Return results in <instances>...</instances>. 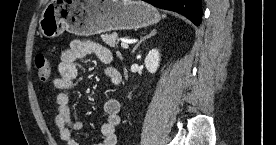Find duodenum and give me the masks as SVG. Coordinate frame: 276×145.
<instances>
[{"label": "duodenum", "mask_w": 276, "mask_h": 145, "mask_svg": "<svg viewBox=\"0 0 276 145\" xmlns=\"http://www.w3.org/2000/svg\"><path fill=\"white\" fill-rule=\"evenodd\" d=\"M119 80H120V75H119L118 79L116 80V82L119 81Z\"/></svg>", "instance_id": "1"}]
</instances>
